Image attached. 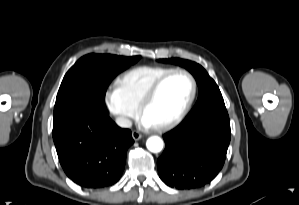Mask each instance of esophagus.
<instances>
[{
  "label": "esophagus",
  "mask_w": 299,
  "mask_h": 205,
  "mask_svg": "<svg viewBox=\"0 0 299 205\" xmlns=\"http://www.w3.org/2000/svg\"><path fill=\"white\" fill-rule=\"evenodd\" d=\"M132 137L135 141L140 140L142 138V134L139 133L138 131H133L132 132Z\"/></svg>",
  "instance_id": "34e87169"
}]
</instances>
